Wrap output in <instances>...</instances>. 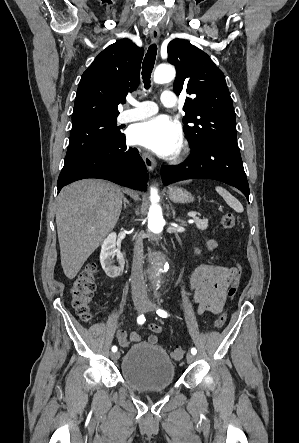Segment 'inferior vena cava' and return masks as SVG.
Segmentation results:
<instances>
[{
  "label": "inferior vena cava",
  "instance_id": "inferior-vena-cava-1",
  "mask_svg": "<svg viewBox=\"0 0 299 443\" xmlns=\"http://www.w3.org/2000/svg\"><path fill=\"white\" fill-rule=\"evenodd\" d=\"M143 267V237L138 234L135 238L134 255L132 263V295L133 297H144L146 295V284L142 272Z\"/></svg>",
  "mask_w": 299,
  "mask_h": 443
}]
</instances>
